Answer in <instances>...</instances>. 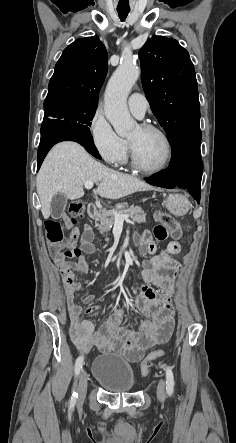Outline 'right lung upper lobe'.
Listing matches in <instances>:
<instances>
[{"mask_svg": "<svg viewBox=\"0 0 236 443\" xmlns=\"http://www.w3.org/2000/svg\"><path fill=\"white\" fill-rule=\"evenodd\" d=\"M108 69V54L97 36L77 39L55 65L45 102L74 99L97 105Z\"/></svg>", "mask_w": 236, "mask_h": 443, "instance_id": "obj_1", "label": "right lung upper lobe"}]
</instances>
